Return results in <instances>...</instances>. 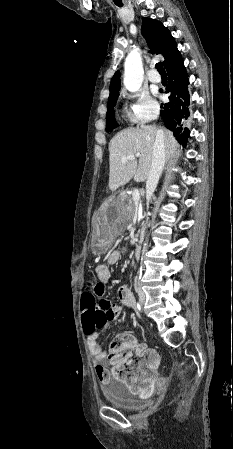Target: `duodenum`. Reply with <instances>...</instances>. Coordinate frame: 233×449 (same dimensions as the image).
<instances>
[{
	"label": "duodenum",
	"instance_id": "duodenum-1",
	"mask_svg": "<svg viewBox=\"0 0 233 449\" xmlns=\"http://www.w3.org/2000/svg\"><path fill=\"white\" fill-rule=\"evenodd\" d=\"M141 255H142V246L139 244H136L133 248V256L136 259H139L141 257Z\"/></svg>",
	"mask_w": 233,
	"mask_h": 449
}]
</instances>
